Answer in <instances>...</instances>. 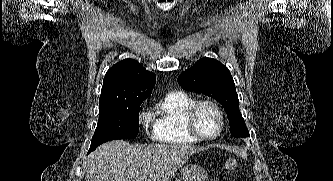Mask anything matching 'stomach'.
I'll list each match as a JSON object with an SVG mask.
<instances>
[{"instance_id":"0dacf381","label":"stomach","mask_w":333,"mask_h":181,"mask_svg":"<svg viewBox=\"0 0 333 181\" xmlns=\"http://www.w3.org/2000/svg\"><path fill=\"white\" fill-rule=\"evenodd\" d=\"M183 181H205L206 170L198 164H187L181 170Z\"/></svg>"}]
</instances>
